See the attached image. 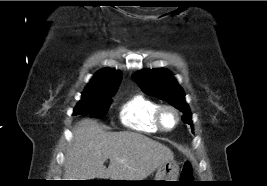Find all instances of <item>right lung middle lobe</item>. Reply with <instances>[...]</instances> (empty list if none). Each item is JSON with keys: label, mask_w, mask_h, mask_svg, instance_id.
<instances>
[{"label": "right lung middle lobe", "mask_w": 267, "mask_h": 186, "mask_svg": "<svg viewBox=\"0 0 267 186\" xmlns=\"http://www.w3.org/2000/svg\"><path fill=\"white\" fill-rule=\"evenodd\" d=\"M115 90L83 92L81 100L74 108L73 115H89L102 118L106 115Z\"/></svg>", "instance_id": "1"}]
</instances>
